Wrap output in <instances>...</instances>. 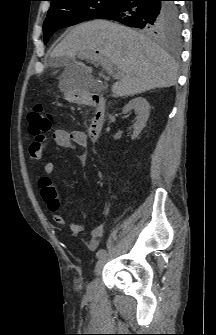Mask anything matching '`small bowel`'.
<instances>
[{
	"label": "small bowel",
	"mask_w": 216,
	"mask_h": 335,
	"mask_svg": "<svg viewBox=\"0 0 216 335\" xmlns=\"http://www.w3.org/2000/svg\"><path fill=\"white\" fill-rule=\"evenodd\" d=\"M54 142L63 148L71 149L74 151H79L85 154L88 147V140L86 134L83 131H69L65 129H56L53 132ZM47 144V139L42 137V139H34L29 146L28 153L31 159L38 160L42 157L43 151ZM54 172V163L47 162L43 167V175L39 180L41 196L45 188L51 187V177ZM43 201L46 203L49 212L52 214L54 221L58 225H64L65 219L62 215L57 212L56 206L53 201H46L42 196ZM70 230L73 234H78L83 230V226L77 223H70ZM104 232V225L99 224L94 227L91 231V239L88 242V248L94 249L97 245L99 237Z\"/></svg>",
	"instance_id": "small-bowel-1"
}]
</instances>
